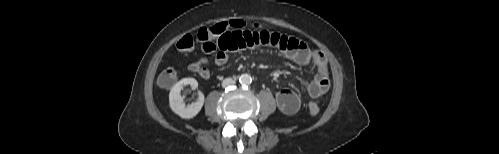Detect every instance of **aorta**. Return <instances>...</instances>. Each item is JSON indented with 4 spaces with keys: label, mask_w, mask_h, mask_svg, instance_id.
Returning <instances> with one entry per match:
<instances>
[{
    "label": "aorta",
    "mask_w": 499,
    "mask_h": 154,
    "mask_svg": "<svg viewBox=\"0 0 499 154\" xmlns=\"http://www.w3.org/2000/svg\"><path fill=\"white\" fill-rule=\"evenodd\" d=\"M239 82L241 85H249L252 82V78L248 74H243L240 76Z\"/></svg>",
    "instance_id": "1"
}]
</instances>
